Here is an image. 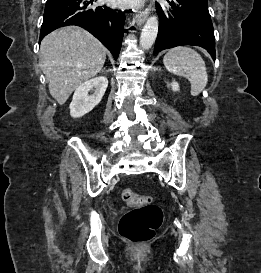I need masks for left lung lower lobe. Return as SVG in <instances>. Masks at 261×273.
Instances as JSON below:
<instances>
[{
  "mask_svg": "<svg viewBox=\"0 0 261 273\" xmlns=\"http://www.w3.org/2000/svg\"><path fill=\"white\" fill-rule=\"evenodd\" d=\"M171 7L157 5L159 31L154 54L180 45L205 48L215 60V37L207 0H167Z\"/></svg>",
  "mask_w": 261,
  "mask_h": 273,
  "instance_id": "1",
  "label": "left lung lower lobe"
}]
</instances>
